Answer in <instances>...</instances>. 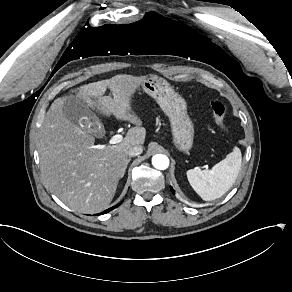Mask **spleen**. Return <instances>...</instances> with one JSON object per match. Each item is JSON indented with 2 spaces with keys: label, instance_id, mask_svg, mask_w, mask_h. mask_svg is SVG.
I'll use <instances>...</instances> for the list:
<instances>
[{
  "label": "spleen",
  "instance_id": "1",
  "mask_svg": "<svg viewBox=\"0 0 292 292\" xmlns=\"http://www.w3.org/2000/svg\"><path fill=\"white\" fill-rule=\"evenodd\" d=\"M241 167L239 148L208 169H190L186 171L187 179L203 200H213L226 193L235 182Z\"/></svg>",
  "mask_w": 292,
  "mask_h": 292
}]
</instances>
